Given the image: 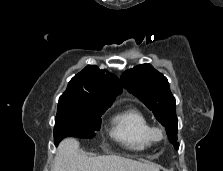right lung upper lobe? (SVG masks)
I'll list each match as a JSON object with an SVG mask.
<instances>
[{
	"instance_id": "right-lung-upper-lobe-1",
	"label": "right lung upper lobe",
	"mask_w": 223,
	"mask_h": 171,
	"mask_svg": "<svg viewBox=\"0 0 223 171\" xmlns=\"http://www.w3.org/2000/svg\"><path fill=\"white\" fill-rule=\"evenodd\" d=\"M121 91L114 74L88 65L71 79L58 104L111 106Z\"/></svg>"
}]
</instances>
